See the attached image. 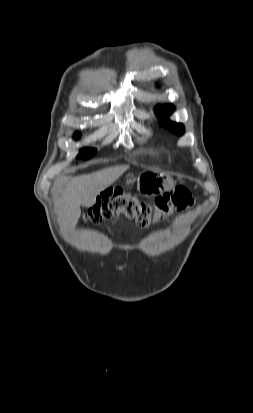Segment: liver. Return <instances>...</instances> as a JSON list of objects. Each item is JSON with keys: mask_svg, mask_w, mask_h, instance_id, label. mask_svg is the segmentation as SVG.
Here are the masks:
<instances>
[{"mask_svg": "<svg viewBox=\"0 0 253 413\" xmlns=\"http://www.w3.org/2000/svg\"><path fill=\"white\" fill-rule=\"evenodd\" d=\"M128 169L129 166L110 167L71 180L60 201L61 214L65 222L75 227L81 215L80 206L92 207L96 197Z\"/></svg>", "mask_w": 253, "mask_h": 413, "instance_id": "6515ba94", "label": "liver"}]
</instances>
